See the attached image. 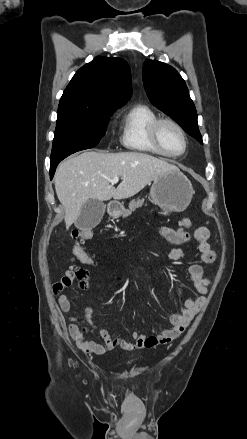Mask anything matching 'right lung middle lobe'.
Masks as SVG:
<instances>
[{"mask_svg": "<svg viewBox=\"0 0 247 439\" xmlns=\"http://www.w3.org/2000/svg\"><path fill=\"white\" fill-rule=\"evenodd\" d=\"M115 111L58 109L51 166L77 151L95 147L105 135L109 117Z\"/></svg>", "mask_w": 247, "mask_h": 439, "instance_id": "1", "label": "right lung middle lobe"}]
</instances>
